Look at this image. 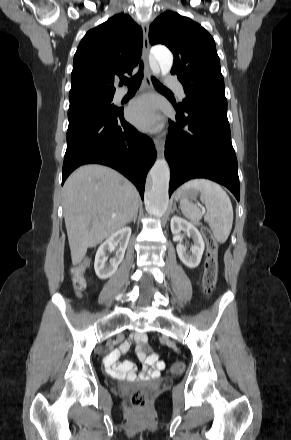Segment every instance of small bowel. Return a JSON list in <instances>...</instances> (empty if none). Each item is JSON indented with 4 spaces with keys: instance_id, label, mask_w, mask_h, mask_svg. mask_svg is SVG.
I'll list each match as a JSON object with an SVG mask.
<instances>
[{
    "instance_id": "c3829d8e",
    "label": "small bowel",
    "mask_w": 291,
    "mask_h": 440,
    "mask_svg": "<svg viewBox=\"0 0 291 440\" xmlns=\"http://www.w3.org/2000/svg\"><path fill=\"white\" fill-rule=\"evenodd\" d=\"M146 337L147 336L145 333L138 332L133 335L131 342L123 343L120 347V350L122 352H127L130 350L133 342L144 343ZM117 357V352L113 351V353L105 359L106 370L115 377H127L131 381L149 380L151 378L158 377L165 368V363L163 361L159 359L154 360L151 357L140 355V359L144 361V370L141 373H137L136 367L132 361L127 360L118 362ZM148 366H152V369L148 370ZM185 369L186 366L183 363H179L175 366V370L180 373L184 372Z\"/></svg>"
}]
</instances>
